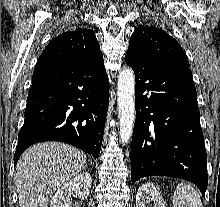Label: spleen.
<instances>
[{"mask_svg": "<svg viewBox=\"0 0 220 207\" xmlns=\"http://www.w3.org/2000/svg\"><path fill=\"white\" fill-rule=\"evenodd\" d=\"M173 205L174 207H202L199 193L191 185L185 183L176 187Z\"/></svg>", "mask_w": 220, "mask_h": 207, "instance_id": "1", "label": "spleen"}]
</instances>
